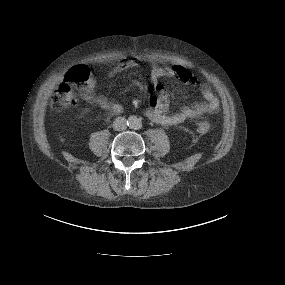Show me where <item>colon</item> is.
<instances>
[{
    "mask_svg": "<svg viewBox=\"0 0 285 285\" xmlns=\"http://www.w3.org/2000/svg\"><path fill=\"white\" fill-rule=\"evenodd\" d=\"M177 74L183 72L181 67L175 68ZM90 77V70L85 65L72 68L66 75L65 80L58 86L51 97V107L56 110L68 108L76 103L75 88L86 83ZM210 130V124L201 121L196 126V131L205 134Z\"/></svg>",
    "mask_w": 285,
    "mask_h": 285,
    "instance_id": "colon-1",
    "label": "colon"
}]
</instances>
